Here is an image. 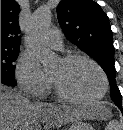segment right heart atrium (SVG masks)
I'll list each match as a JSON object with an SVG mask.
<instances>
[{
  "label": "right heart atrium",
  "instance_id": "d8ad5b80",
  "mask_svg": "<svg viewBox=\"0 0 123 130\" xmlns=\"http://www.w3.org/2000/svg\"><path fill=\"white\" fill-rule=\"evenodd\" d=\"M19 87L27 94L44 96L50 88V78L29 53H22L15 70Z\"/></svg>",
  "mask_w": 123,
  "mask_h": 130
}]
</instances>
